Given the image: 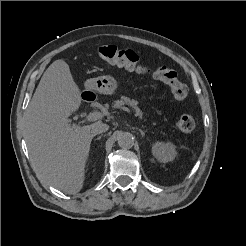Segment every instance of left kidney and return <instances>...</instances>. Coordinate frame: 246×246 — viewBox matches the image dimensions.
<instances>
[{"instance_id":"1","label":"left kidney","mask_w":246,"mask_h":246,"mask_svg":"<svg viewBox=\"0 0 246 246\" xmlns=\"http://www.w3.org/2000/svg\"><path fill=\"white\" fill-rule=\"evenodd\" d=\"M152 154L158 161L167 163L175 159L177 151L173 143L157 141L152 145Z\"/></svg>"}]
</instances>
